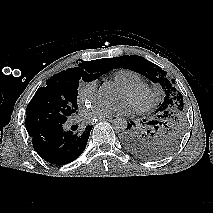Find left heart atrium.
Masks as SVG:
<instances>
[{
  "label": "left heart atrium",
  "mask_w": 213,
  "mask_h": 213,
  "mask_svg": "<svg viewBox=\"0 0 213 213\" xmlns=\"http://www.w3.org/2000/svg\"><path fill=\"white\" fill-rule=\"evenodd\" d=\"M131 112V106L128 102L122 101L115 105L97 103L87 108L83 116L86 121H95L107 117H116L127 115Z\"/></svg>",
  "instance_id": "left-heart-atrium-1"
}]
</instances>
